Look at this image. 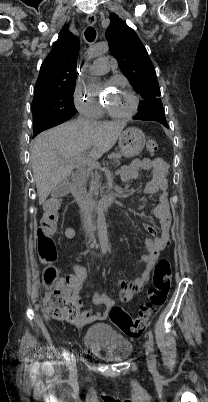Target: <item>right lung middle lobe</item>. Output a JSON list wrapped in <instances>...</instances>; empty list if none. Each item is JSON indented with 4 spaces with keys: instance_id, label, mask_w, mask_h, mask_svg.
<instances>
[{
    "instance_id": "1",
    "label": "right lung middle lobe",
    "mask_w": 208,
    "mask_h": 402,
    "mask_svg": "<svg viewBox=\"0 0 208 402\" xmlns=\"http://www.w3.org/2000/svg\"><path fill=\"white\" fill-rule=\"evenodd\" d=\"M75 82L47 88L34 94L32 113L34 120L42 117L70 119L77 113L73 94Z\"/></svg>"
}]
</instances>
